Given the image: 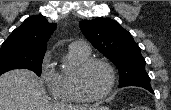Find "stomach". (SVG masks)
Segmentation results:
<instances>
[{
    "instance_id": "0dacf381",
    "label": "stomach",
    "mask_w": 171,
    "mask_h": 110,
    "mask_svg": "<svg viewBox=\"0 0 171 110\" xmlns=\"http://www.w3.org/2000/svg\"><path fill=\"white\" fill-rule=\"evenodd\" d=\"M89 110H109V108H107V107H94V108H90Z\"/></svg>"
}]
</instances>
